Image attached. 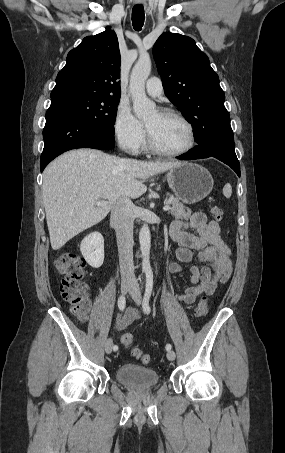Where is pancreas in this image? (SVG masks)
I'll return each instance as SVG.
<instances>
[{
  "instance_id": "pancreas-1",
  "label": "pancreas",
  "mask_w": 285,
  "mask_h": 453,
  "mask_svg": "<svg viewBox=\"0 0 285 453\" xmlns=\"http://www.w3.org/2000/svg\"><path fill=\"white\" fill-rule=\"evenodd\" d=\"M168 202L172 205L169 213L176 219L187 220L191 216L192 211L189 208H186L181 202H179L176 197L170 195Z\"/></svg>"
}]
</instances>
